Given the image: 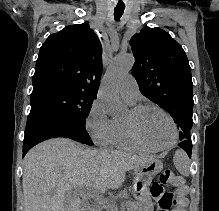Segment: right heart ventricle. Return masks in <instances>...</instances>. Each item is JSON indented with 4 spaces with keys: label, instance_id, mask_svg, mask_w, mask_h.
<instances>
[{
    "label": "right heart ventricle",
    "instance_id": "1",
    "mask_svg": "<svg viewBox=\"0 0 219 211\" xmlns=\"http://www.w3.org/2000/svg\"><path fill=\"white\" fill-rule=\"evenodd\" d=\"M116 130L113 144L124 150L136 152H149L150 149L136 142L130 135L124 120L115 119Z\"/></svg>",
    "mask_w": 219,
    "mask_h": 211
}]
</instances>
